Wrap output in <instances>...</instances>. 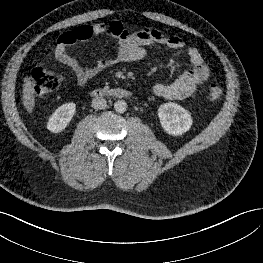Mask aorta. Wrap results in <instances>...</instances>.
Instances as JSON below:
<instances>
[{
    "label": "aorta",
    "mask_w": 263,
    "mask_h": 263,
    "mask_svg": "<svg viewBox=\"0 0 263 263\" xmlns=\"http://www.w3.org/2000/svg\"><path fill=\"white\" fill-rule=\"evenodd\" d=\"M114 109L117 113H124L127 110V103L124 100H118L114 103Z\"/></svg>",
    "instance_id": "obj_1"
}]
</instances>
